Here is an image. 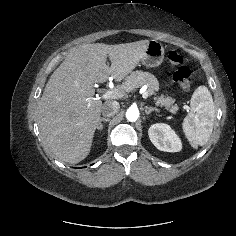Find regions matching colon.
<instances>
[{
	"label": "colon",
	"mask_w": 236,
	"mask_h": 236,
	"mask_svg": "<svg viewBox=\"0 0 236 236\" xmlns=\"http://www.w3.org/2000/svg\"><path fill=\"white\" fill-rule=\"evenodd\" d=\"M168 61L174 68V81L182 91L188 92L191 89L192 79L190 69L185 65L183 56L176 51H171L168 54Z\"/></svg>",
	"instance_id": "1"
}]
</instances>
